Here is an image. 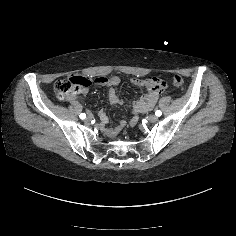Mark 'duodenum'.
<instances>
[{
  "mask_svg": "<svg viewBox=\"0 0 236 236\" xmlns=\"http://www.w3.org/2000/svg\"><path fill=\"white\" fill-rule=\"evenodd\" d=\"M155 85H156V83L148 84L149 89H150V94H149L146 98H144V99H142V100H140L139 102L136 103V108H137V109H140V108L144 107L145 104L147 103V101H148L149 99L155 97V93H156V92H155V90H156ZM121 127H122V126L118 127V130H119Z\"/></svg>",
  "mask_w": 236,
  "mask_h": 236,
  "instance_id": "1",
  "label": "duodenum"
}]
</instances>
